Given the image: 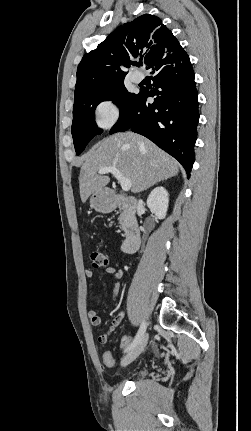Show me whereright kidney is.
<instances>
[{"mask_svg": "<svg viewBox=\"0 0 251 431\" xmlns=\"http://www.w3.org/2000/svg\"><path fill=\"white\" fill-rule=\"evenodd\" d=\"M169 203V195L164 187L155 188L147 199V206L151 213L155 214L159 219L166 217Z\"/></svg>", "mask_w": 251, "mask_h": 431, "instance_id": "obj_1", "label": "right kidney"}]
</instances>
